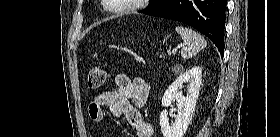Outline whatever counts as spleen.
<instances>
[{
  "mask_svg": "<svg viewBox=\"0 0 280 137\" xmlns=\"http://www.w3.org/2000/svg\"><path fill=\"white\" fill-rule=\"evenodd\" d=\"M175 31L181 36L185 44L181 49L183 59L191 58L207 45L205 39L199 33L188 27L177 26Z\"/></svg>",
  "mask_w": 280,
  "mask_h": 137,
  "instance_id": "spleen-1",
  "label": "spleen"
}]
</instances>
